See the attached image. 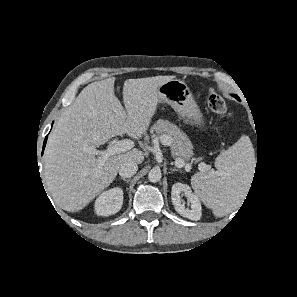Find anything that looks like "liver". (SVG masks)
I'll return each instance as SVG.
<instances>
[{
    "instance_id": "6515ba94",
    "label": "liver",
    "mask_w": 297,
    "mask_h": 297,
    "mask_svg": "<svg viewBox=\"0 0 297 297\" xmlns=\"http://www.w3.org/2000/svg\"><path fill=\"white\" fill-rule=\"evenodd\" d=\"M172 78L126 80L125 109L115 96L114 77L93 82L81 91L55 124L44 155L47 190L60 208L68 212L83 209L113 182L125 161L143 162L144 153L133 148L99 165L96 147L118 135L135 139L145 135L157 109V88Z\"/></svg>"
}]
</instances>
